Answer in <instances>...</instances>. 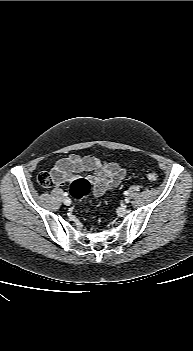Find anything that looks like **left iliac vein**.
Wrapping results in <instances>:
<instances>
[{
  "label": "left iliac vein",
  "instance_id": "left-iliac-vein-1",
  "mask_svg": "<svg viewBox=\"0 0 193 351\" xmlns=\"http://www.w3.org/2000/svg\"><path fill=\"white\" fill-rule=\"evenodd\" d=\"M125 203H129V198H126V199H125Z\"/></svg>",
  "mask_w": 193,
  "mask_h": 351
}]
</instances>
